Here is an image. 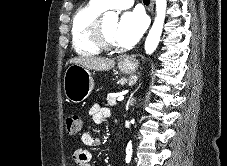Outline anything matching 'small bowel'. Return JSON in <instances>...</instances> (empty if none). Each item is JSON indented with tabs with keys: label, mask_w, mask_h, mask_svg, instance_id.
<instances>
[{
	"label": "small bowel",
	"mask_w": 227,
	"mask_h": 166,
	"mask_svg": "<svg viewBox=\"0 0 227 166\" xmlns=\"http://www.w3.org/2000/svg\"><path fill=\"white\" fill-rule=\"evenodd\" d=\"M90 115L94 122L102 124L111 116V110L95 103L90 108ZM82 144L86 147H98L99 139L90 132H84L81 135ZM73 159L79 166H92V153L90 150L81 147L74 151Z\"/></svg>",
	"instance_id": "obj_1"
}]
</instances>
